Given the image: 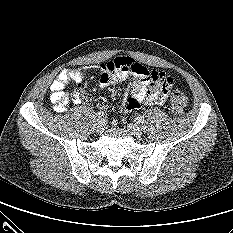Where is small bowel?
Wrapping results in <instances>:
<instances>
[{
  "instance_id": "obj_1",
  "label": "small bowel",
  "mask_w": 233,
  "mask_h": 233,
  "mask_svg": "<svg viewBox=\"0 0 233 233\" xmlns=\"http://www.w3.org/2000/svg\"><path fill=\"white\" fill-rule=\"evenodd\" d=\"M138 67L144 66L130 57L122 56L95 69L101 87L119 85L128 77L135 78L132 85L124 90L123 99L118 105L122 112L135 110L143 105H162L174 86V78L165 72L149 70L148 76H142L136 71ZM88 71V68H68L58 74L50 87L51 100L58 110H64L66 107V85L74 82L80 87L83 77ZM74 102L89 103L90 97L83 92H78L74 96Z\"/></svg>"
}]
</instances>
